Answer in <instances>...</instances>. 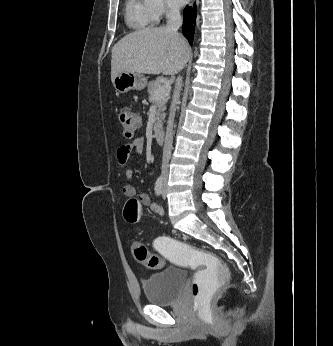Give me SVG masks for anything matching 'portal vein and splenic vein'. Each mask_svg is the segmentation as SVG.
<instances>
[{
    "label": "portal vein and splenic vein",
    "mask_w": 333,
    "mask_h": 346,
    "mask_svg": "<svg viewBox=\"0 0 333 346\" xmlns=\"http://www.w3.org/2000/svg\"><path fill=\"white\" fill-rule=\"evenodd\" d=\"M171 90V85L170 83L166 82L164 83L154 94L155 99H160L163 97H166Z\"/></svg>",
    "instance_id": "obj_1"
}]
</instances>
